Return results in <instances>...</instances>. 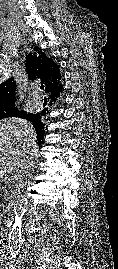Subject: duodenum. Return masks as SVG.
Segmentation results:
<instances>
[{"label": "duodenum", "instance_id": "1", "mask_svg": "<svg viewBox=\"0 0 118 269\" xmlns=\"http://www.w3.org/2000/svg\"><path fill=\"white\" fill-rule=\"evenodd\" d=\"M2 226L4 231H9L12 226V219L10 217H5L2 221Z\"/></svg>", "mask_w": 118, "mask_h": 269}]
</instances>
